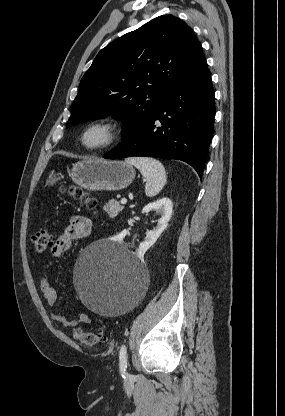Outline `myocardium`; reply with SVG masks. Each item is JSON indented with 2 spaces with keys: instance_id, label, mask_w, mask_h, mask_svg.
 Wrapping results in <instances>:
<instances>
[{
  "instance_id": "myocardium-1",
  "label": "myocardium",
  "mask_w": 285,
  "mask_h": 416,
  "mask_svg": "<svg viewBox=\"0 0 285 416\" xmlns=\"http://www.w3.org/2000/svg\"><path fill=\"white\" fill-rule=\"evenodd\" d=\"M99 129L103 132L104 140L97 146H88L85 143L87 135L93 131ZM119 129L115 123L107 119H97L89 122L84 126L79 135V144L81 148L88 153H100L111 147H113L119 139Z\"/></svg>"
}]
</instances>
